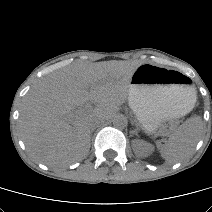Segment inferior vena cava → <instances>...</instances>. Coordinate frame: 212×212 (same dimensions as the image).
<instances>
[{
    "label": "inferior vena cava",
    "instance_id": "obj_1",
    "mask_svg": "<svg viewBox=\"0 0 212 212\" xmlns=\"http://www.w3.org/2000/svg\"><path fill=\"white\" fill-rule=\"evenodd\" d=\"M103 120L99 117H91L89 120V125L91 128L98 126Z\"/></svg>",
    "mask_w": 212,
    "mask_h": 212
}]
</instances>
